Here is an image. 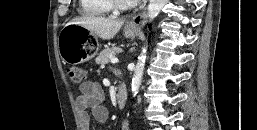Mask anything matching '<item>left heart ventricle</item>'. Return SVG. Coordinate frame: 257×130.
<instances>
[{
	"mask_svg": "<svg viewBox=\"0 0 257 130\" xmlns=\"http://www.w3.org/2000/svg\"><path fill=\"white\" fill-rule=\"evenodd\" d=\"M122 1L127 2V3L133 2L132 0H122Z\"/></svg>",
	"mask_w": 257,
	"mask_h": 130,
	"instance_id": "left-heart-ventricle-1",
	"label": "left heart ventricle"
}]
</instances>
